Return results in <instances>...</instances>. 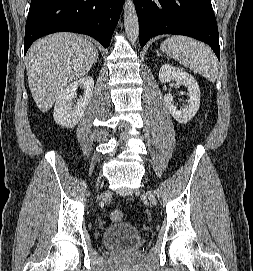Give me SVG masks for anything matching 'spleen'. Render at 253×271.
Instances as JSON below:
<instances>
[{"label": "spleen", "mask_w": 253, "mask_h": 271, "mask_svg": "<svg viewBox=\"0 0 253 271\" xmlns=\"http://www.w3.org/2000/svg\"><path fill=\"white\" fill-rule=\"evenodd\" d=\"M160 49L208 81H216L218 62L213 51L204 43L190 37L175 35L164 40Z\"/></svg>", "instance_id": "3e777b00"}]
</instances>
